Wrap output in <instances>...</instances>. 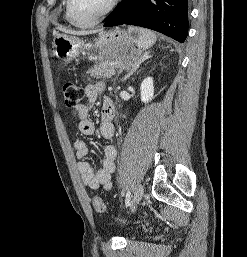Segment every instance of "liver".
<instances>
[{
    "mask_svg": "<svg viewBox=\"0 0 247 257\" xmlns=\"http://www.w3.org/2000/svg\"><path fill=\"white\" fill-rule=\"evenodd\" d=\"M60 31L64 32V33H68V34H71V35H88V34H93V33H96L97 30L95 31H73V30H68L66 28H58Z\"/></svg>",
    "mask_w": 247,
    "mask_h": 257,
    "instance_id": "1",
    "label": "liver"
}]
</instances>
